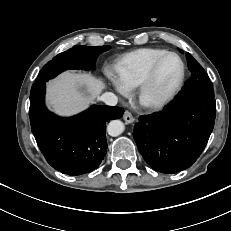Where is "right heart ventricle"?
<instances>
[{"label": "right heart ventricle", "mask_w": 231, "mask_h": 231, "mask_svg": "<svg viewBox=\"0 0 231 231\" xmlns=\"http://www.w3.org/2000/svg\"><path fill=\"white\" fill-rule=\"evenodd\" d=\"M168 51L163 48H140L121 58L114 65L118 80L127 87L139 85L152 64Z\"/></svg>", "instance_id": "1"}]
</instances>
